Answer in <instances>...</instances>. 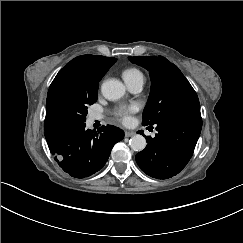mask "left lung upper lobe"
<instances>
[{"instance_id":"left-lung-upper-lobe-1","label":"left lung upper lobe","mask_w":243,"mask_h":243,"mask_svg":"<svg viewBox=\"0 0 243 243\" xmlns=\"http://www.w3.org/2000/svg\"><path fill=\"white\" fill-rule=\"evenodd\" d=\"M146 68L151 91L143 112V125H154L176 116L201 118L198 96L178 69L162 56L129 57Z\"/></svg>"}]
</instances>
